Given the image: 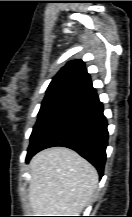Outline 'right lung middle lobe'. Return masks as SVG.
<instances>
[{"instance_id": "1", "label": "right lung middle lobe", "mask_w": 132, "mask_h": 217, "mask_svg": "<svg viewBox=\"0 0 132 217\" xmlns=\"http://www.w3.org/2000/svg\"><path fill=\"white\" fill-rule=\"evenodd\" d=\"M76 98L75 95L62 92L46 94L38 113V120L30 136V146L34 144L54 117Z\"/></svg>"}]
</instances>
